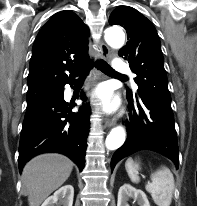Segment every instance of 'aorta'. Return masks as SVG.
<instances>
[{"label":"aorta","instance_id":"aorta-1","mask_svg":"<svg viewBox=\"0 0 197 206\" xmlns=\"http://www.w3.org/2000/svg\"><path fill=\"white\" fill-rule=\"evenodd\" d=\"M105 40L112 48H121L125 41V34L119 27L108 28L105 31ZM125 130L123 127H115L107 135L105 145L109 150L121 147L125 141Z\"/></svg>","mask_w":197,"mask_h":206}]
</instances>
